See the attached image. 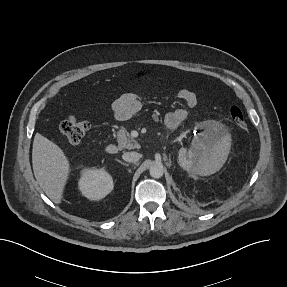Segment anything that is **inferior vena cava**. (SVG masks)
<instances>
[{"mask_svg":"<svg viewBox=\"0 0 287 287\" xmlns=\"http://www.w3.org/2000/svg\"><path fill=\"white\" fill-rule=\"evenodd\" d=\"M122 158L126 162L135 163L141 158V155L137 152H125Z\"/></svg>","mask_w":287,"mask_h":287,"instance_id":"inferior-vena-cava-1","label":"inferior vena cava"}]
</instances>
